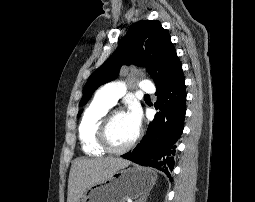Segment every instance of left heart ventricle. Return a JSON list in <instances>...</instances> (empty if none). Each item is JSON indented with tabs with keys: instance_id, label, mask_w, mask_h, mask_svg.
I'll list each match as a JSON object with an SVG mask.
<instances>
[{
	"instance_id": "obj_1",
	"label": "left heart ventricle",
	"mask_w": 255,
	"mask_h": 202,
	"mask_svg": "<svg viewBox=\"0 0 255 202\" xmlns=\"http://www.w3.org/2000/svg\"><path fill=\"white\" fill-rule=\"evenodd\" d=\"M137 134V130L130 124L125 113L116 114L112 120L109 136L115 147H122L129 143Z\"/></svg>"
}]
</instances>
